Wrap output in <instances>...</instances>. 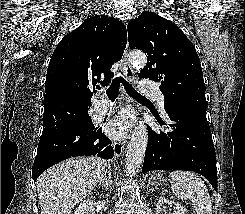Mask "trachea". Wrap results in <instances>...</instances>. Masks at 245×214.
I'll return each mask as SVG.
<instances>
[{"mask_svg":"<svg viewBox=\"0 0 245 214\" xmlns=\"http://www.w3.org/2000/svg\"><path fill=\"white\" fill-rule=\"evenodd\" d=\"M121 83L124 86L126 92L131 97L140 98V99H147L144 96H142L141 94H139L136 90H134V88H132V86L126 80H124L122 77H116L112 81L110 87L106 91L108 98L111 99L112 101L118 97L119 87H120Z\"/></svg>","mask_w":245,"mask_h":214,"instance_id":"3493384b","label":"trachea"}]
</instances>
